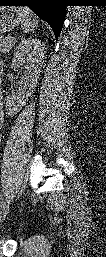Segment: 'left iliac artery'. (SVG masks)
I'll use <instances>...</instances> for the list:
<instances>
[{
  "label": "left iliac artery",
  "instance_id": "1",
  "mask_svg": "<svg viewBox=\"0 0 106 257\" xmlns=\"http://www.w3.org/2000/svg\"><path fill=\"white\" fill-rule=\"evenodd\" d=\"M0 199H1L0 203L2 204V203H3V198H2V195H1V198H0Z\"/></svg>",
  "mask_w": 106,
  "mask_h": 257
}]
</instances>
